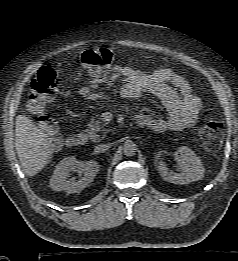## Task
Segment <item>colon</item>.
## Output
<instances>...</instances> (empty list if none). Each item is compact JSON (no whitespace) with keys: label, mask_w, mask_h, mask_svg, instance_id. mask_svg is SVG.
I'll return each instance as SVG.
<instances>
[{"label":"colon","mask_w":238,"mask_h":261,"mask_svg":"<svg viewBox=\"0 0 238 261\" xmlns=\"http://www.w3.org/2000/svg\"><path fill=\"white\" fill-rule=\"evenodd\" d=\"M115 59L114 51L107 47H96L84 51L81 62L93 77H103ZM57 73L50 66L42 67L31 81L28 91V109L39 115L42 128L53 136L57 143V126L53 119L43 115L44 108L57 92ZM203 144L209 150H217L224 137V125L221 121L206 117L200 128Z\"/></svg>","instance_id":"5ec220e1"}]
</instances>
